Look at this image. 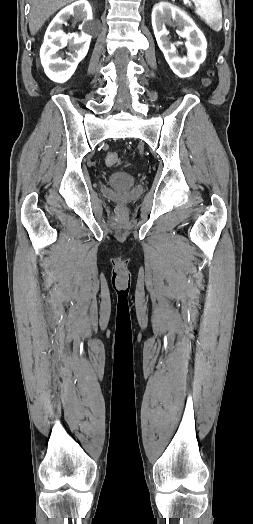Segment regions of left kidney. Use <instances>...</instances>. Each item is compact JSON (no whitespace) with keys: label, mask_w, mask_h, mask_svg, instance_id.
Masks as SVG:
<instances>
[{"label":"left kidney","mask_w":253,"mask_h":524,"mask_svg":"<svg viewBox=\"0 0 253 524\" xmlns=\"http://www.w3.org/2000/svg\"><path fill=\"white\" fill-rule=\"evenodd\" d=\"M171 21L179 26L178 34L187 39V57H179L175 45L169 41V32L165 24ZM152 26L158 46L172 71L181 78L195 74L206 58L207 42L192 19L178 7L168 2H160L153 7Z\"/></svg>","instance_id":"obj_1"}]
</instances>
